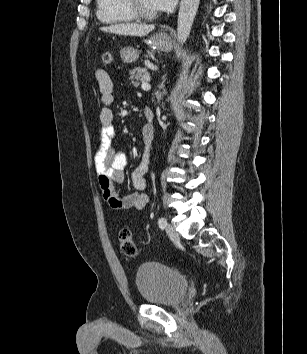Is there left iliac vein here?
<instances>
[{"label": "left iliac vein", "mask_w": 307, "mask_h": 354, "mask_svg": "<svg viewBox=\"0 0 307 354\" xmlns=\"http://www.w3.org/2000/svg\"><path fill=\"white\" fill-rule=\"evenodd\" d=\"M166 233L168 235V237L174 241V242H178L179 241V235L178 233L175 231L174 227L172 225H167L166 227Z\"/></svg>", "instance_id": "left-iliac-vein-1"}]
</instances>
